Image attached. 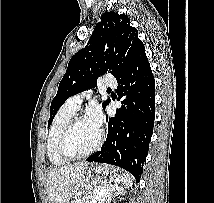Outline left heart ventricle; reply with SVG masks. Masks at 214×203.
Wrapping results in <instances>:
<instances>
[{"label": "left heart ventricle", "instance_id": "obj_1", "mask_svg": "<svg viewBox=\"0 0 214 203\" xmlns=\"http://www.w3.org/2000/svg\"><path fill=\"white\" fill-rule=\"evenodd\" d=\"M99 129L86 119L79 121L69 138L68 148L72 153L79 154L88 151L96 143Z\"/></svg>", "mask_w": 214, "mask_h": 203}]
</instances>
